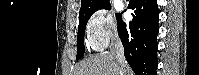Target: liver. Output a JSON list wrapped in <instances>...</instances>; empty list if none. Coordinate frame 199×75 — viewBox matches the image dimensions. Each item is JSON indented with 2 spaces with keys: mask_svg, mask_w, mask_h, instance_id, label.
Wrapping results in <instances>:
<instances>
[{
  "mask_svg": "<svg viewBox=\"0 0 199 75\" xmlns=\"http://www.w3.org/2000/svg\"><path fill=\"white\" fill-rule=\"evenodd\" d=\"M120 70L123 75H133L127 63L122 66L111 51L84 60L79 64L75 75H120Z\"/></svg>",
  "mask_w": 199,
  "mask_h": 75,
  "instance_id": "obj_1",
  "label": "liver"
}]
</instances>
